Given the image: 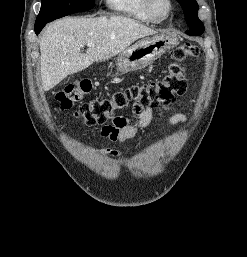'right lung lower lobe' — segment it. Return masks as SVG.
Listing matches in <instances>:
<instances>
[{
	"label": "right lung lower lobe",
	"mask_w": 247,
	"mask_h": 257,
	"mask_svg": "<svg viewBox=\"0 0 247 257\" xmlns=\"http://www.w3.org/2000/svg\"><path fill=\"white\" fill-rule=\"evenodd\" d=\"M48 22H42L39 24H35V33L38 35L40 33V31L43 29V27L47 24Z\"/></svg>",
	"instance_id": "obj_1"
}]
</instances>
